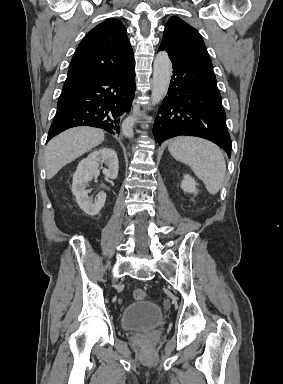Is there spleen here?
Returning <instances> with one entry per match:
<instances>
[{
	"label": "spleen",
	"mask_w": 283,
	"mask_h": 384,
	"mask_svg": "<svg viewBox=\"0 0 283 384\" xmlns=\"http://www.w3.org/2000/svg\"><path fill=\"white\" fill-rule=\"evenodd\" d=\"M168 150L178 162L190 166L195 176L202 180L209 194H218L226 174L224 154L216 144L202 138H176Z\"/></svg>",
	"instance_id": "obj_1"
}]
</instances>
